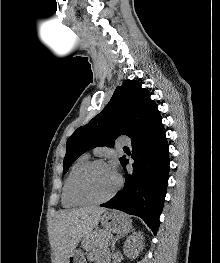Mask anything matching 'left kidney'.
<instances>
[{
	"mask_svg": "<svg viewBox=\"0 0 220 263\" xmlns=\"http://www.w3.org/2000/svg\"><path fill=\"white\" fill-rule=\"evenodd\" d=\"M143 240L142 232H134L124 244V254L129 258H136L144 247Z\"/></svg>",
	"mask_w": 220,
	"mask_h": 263,
	"instance_id": "1",
	"label": "left kidney"
}]
</instances>
